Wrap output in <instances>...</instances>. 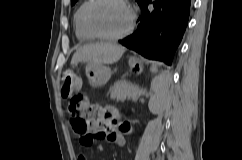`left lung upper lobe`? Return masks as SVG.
<instances>
[{
    "label": "left lung upper lobe",
    "instance_id": "obj_1",
    "mask_svg": "<svg viewBox=\"0 0 242 160\" xmlns=\"http://www.w3.org/2000/svg\"><path fill=\"white\" fill-rule=\"evenodd\" d=\"M136 1L138 2L139 6H141L144 0H136ZM76 2L77 0H71V5H74Z\"/></svg>",
    "mask_w": 242,
    "mask_h": 160
}]
</instances>
